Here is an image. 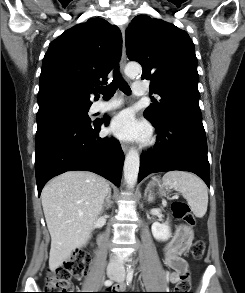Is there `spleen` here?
Segmentation results:
<instances>
[{"label":"spleen","instance_id":"spleen-1","mask_svg":"<svg viewBox=\"0 0 245 293\" xmlns=\"http://www.w3.org/2000/svg\"><path fill=\"white\" fill-rule=\"evenodd\" d=\"M163 182L183 195L196 217L202 218L205 215L208 192L205 183L199 177L189 172L171 171L163 176Z\"/></svg>","mask_w":245,"mask_h":293}]
</instances>
